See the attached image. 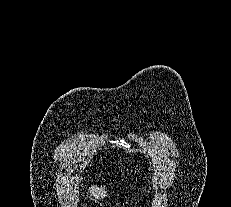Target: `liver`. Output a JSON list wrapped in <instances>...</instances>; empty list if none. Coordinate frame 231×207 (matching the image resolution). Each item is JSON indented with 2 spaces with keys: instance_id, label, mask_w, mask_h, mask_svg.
<instances>
[{
  "instance_id": "1",
  "label": "liver",
  "mask_w": 231,
  "mask_h": 207,
  "mask_svg": "<svg viewBox=\"0 0 231 207\" xmlns=\"http://www.w3.org/2000/svg\"><path fill=\"white\" fill-rule=\"evenodd\" d=\"M90 192L93 194L94 198L96 200H101L105 197H107V191L105 190V187H92Z\"/></svg>"
}]
</instances>
